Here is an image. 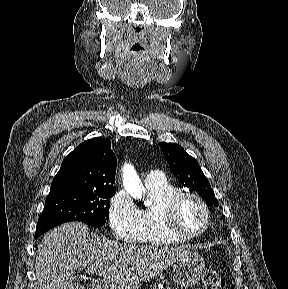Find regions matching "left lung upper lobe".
I'll return each instance as SVG.
<instances>
[{
  "mask_svg": "<svg viewBox=\"0 0 288 289\" xmlns=\"http://www.w3.org/2000/svg\"><path fill=\"white\" fill-rule=\"evenodd\" d=\"M172 172L184 186L195 190L208 205L218 206L215 194L197 160L175 143H159Z\"/></svg>",
  "mask_w": 288,
  "mask_h": 289,
  "instance_id": "obj_1",
  "label": "left lung upper lobe"
}]
</instances>
